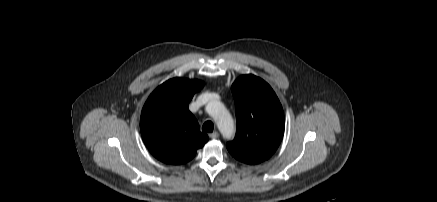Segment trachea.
<instances>
[{
	"mask_svg": "<svg viewBox=\"0 0 437 202\" xmlns=\"http://www.w3.org/2000/svg\"><path fill=\"white\" fill-rule=\"evenodd\" d=\"M213 129H214V125H213V123L211 122V121H206L204 124H203V126H202V130L204 131V132H213Z\"/></svg>",
	"mask_w": 437,
	"mask_h": 202,
	"instance_id": "3493384b",
	"label": "trachea"
}]
</instances>
